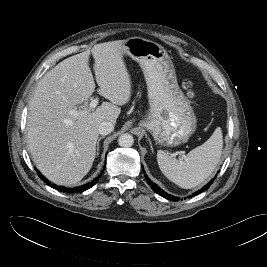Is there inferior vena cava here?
<instances>
[{"instance_id":"obj_1","label":"inferior vena cava","mask_w":267,"mask_h":267,"mask_svg":"<svg viewBox=\"0 0 267 267\" xmlns=\"http://www.w3.org/2000/svg\"><path fill=\"white\" fill-rule=\"evenodd\" d=\"M114 130V124L108 121H104L100 124L98 128V133L100 135H108Z\"/></svg>"}]
</instances>
